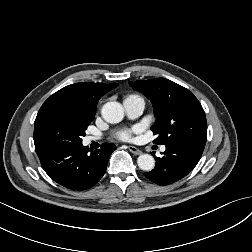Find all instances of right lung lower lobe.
Wrapping results in <instances>:
<instances>
[{"instance_id":"obj_1","label":"right lung lower lobe","mask_w":252,"mask_h":252,"mask_svg":"<svg viewBox=\"0 0 252 252\" xmlns=\"http://www.w3.org/2000/svg\"><path fill=\"white\" fill-rule=\"evenodd\" d=\"M87 149L82 142L35 146L42 168L49 177L77 191L91 188L103 177L116 146L103 143L100 149L91 153Z\"/></svg>"}]
</instances>
